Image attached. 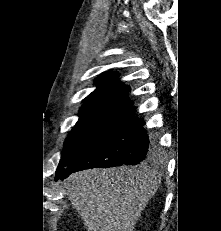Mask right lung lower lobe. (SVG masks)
Instances as JSON below:
<instances>
[{
	"mask_svg": "<svg viewBox=\"0 0 221 231\" xmlns=\"http://www.w3.org/2000/svg\"><path fill=\"white\" fill-rule=\"evenodd\" d=\"M133 104L115 116L96 139L68 165L58 168L55 180L88 169L137 165L152 160L158 152L156 139L148 137L144 121L135 117Z\"/></svg>",
	"mask_w": 221,
	"mask_h": 231,
	"instance_id": "obj_1",
	"label": "right lung lower lobe"
}]
</instances>
